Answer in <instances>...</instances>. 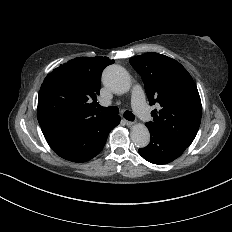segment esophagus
Here are the masks:
<instances>
[{"label": "esophagus", "mask_w": 232, "mask_h": 232, "mask_svg": "<svg viewBox=\"0 0 232 232\" xmlns=\"http://www.w3.org/2000/svg\"><path fill=\"white\" fill-rule=\"evenodd\" d=\"M124 122L127 126H131L133 124V122L129 120H124Z\"/></svg>", "instance_id": "1"}]
</instances>
